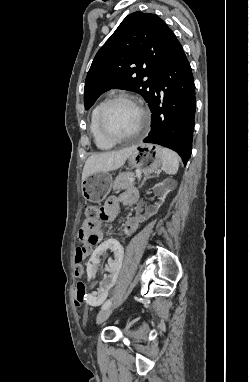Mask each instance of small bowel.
Instances as JSON below:
<instances>
[{
    "mask_svg": "<svg viewBox=\"0 0 249 382\" xmlns=\"http://www.w3.org/2000/svg\"><path fill=\"white\" fill-rule=\"evenodd\" d=\"M136 201V196L133 194H126L120 197L111 196L106 203L100 208L101 214L100 219L103 221H112L116 218L119 210V205H132ZM141 224V217L139 215L130 217L124 226V234L130 235L135 232ZM100 222L90 221L88 219L84 220L82 226L77 232L78 240L83 244V247L88 250H94L95 246L98 245L100 240ZM77 252V251H76ZM81 266V265H80ZM93 278V277H88ZM84 301V300H83ZM82 299L75 300L77 306L83 303Z\"/></svg>",
    "mask_w": 249,
    "mask_h": 382,
    "instance_id": "obj_1",
    "label": "small bowel"
}]
</instances>
